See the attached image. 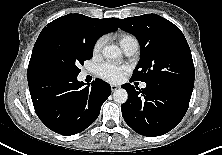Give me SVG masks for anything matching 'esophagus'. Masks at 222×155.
Here are the masks:
<instances>
[{
    "label": "esophagus",
    "instance_id": "obj_1",
    "mask_svg": "<svg viewBox=\"0 0 222 155\" xmlns=\"http://www.w3.org/2000/svg\"><path fill=\"white\" fill-rule=\"evenodd\" d=\"M120 86L116 84H111V90L116 91Z\"/></svg>",
    "mask_w": 222,
    "mask_h": 155
}]
</instances>
